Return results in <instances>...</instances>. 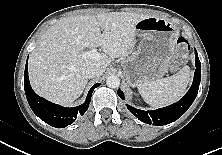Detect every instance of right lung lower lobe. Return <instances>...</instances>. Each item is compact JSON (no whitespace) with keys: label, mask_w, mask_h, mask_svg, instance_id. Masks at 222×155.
I'll list each match as a JSON object with an SVG mask.
<instances>
[{"label":"right lung lower lobe","mask_w":222,"mask_h":155,"mask_svg":"<svg viewBox=\"0 0 222 155\" xmlns=\"http://www.w3.org/2000/svg\"><path fill=\"white\" fill-rule=\"evenodd\" d=\"M100 83L94 84L88 92L86 100L78 107L66 108L57 104H53L44 98L38 96L30 86L27 63L24 72V89L28 103L33 112L47 124L63 128L72 124L77 115H83L89 107L91 95L93 90L98 87Z\"/></svg>","instance_id":"98d812e1"}]
</instances>
